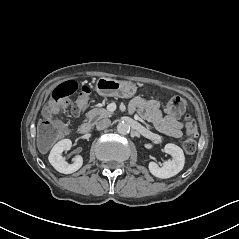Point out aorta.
<instances>
[{
	"mask_svg": "<svg viewBox=\"0 0 239 239\" xmlns=\"http://www.w3.org/2000/svg\"><path fill=\"white\" fill-rule=\"evenodd\" d=\"M130 130V126L125 122H120L117 125V132L120 134H127Z\"/></svg>",
	"mask_w": 239,
	"mask_h": 239,
	"instance_id": "obj_1",
	"label": "aorta"
}]
</instances>
